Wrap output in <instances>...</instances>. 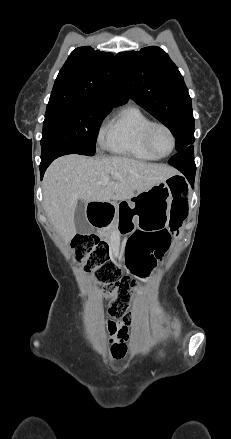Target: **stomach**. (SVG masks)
Masks as SVG:
<instances>
[{
  "instance_id": "obj_1",
  "label": "stomach",
  "mask_w": 231,
  "mask_h": 439,
  "mask_svg": "<svg viewBox=\"0 0 231 439\" xmlns=\"http://www.w3.org/2000/svg\"><path fill=\"white\" fill-rule=\"evenodd\" d=\"M170 178L132 197L128 202L130 213L120 223L122 233L131 232L137 227L158 230L167 224L173 199L168 184Z\"/></svg>"
}]
</instances>
